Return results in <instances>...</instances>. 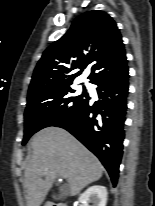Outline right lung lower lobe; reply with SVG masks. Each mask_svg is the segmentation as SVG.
Here are the masks:
<instances>
[{"label":"right lung lower lobe","instance_id":"98d812e1","mask_svg":"<svg viewBox=\"0 0 155 206\" xmlns=\"http://www.w3.org/2000/svg\"><path fill=\"white\" fill-rule=\"evenodd\" d=\"M128 79L126 65L97 84V93L101 100L93 104L87 100L53 125L69 131L93 152L107 169L114 186L122 157Z\"/></svg>","mask_w":155,"mask_h":206}]
</instances>
